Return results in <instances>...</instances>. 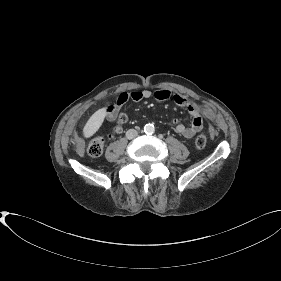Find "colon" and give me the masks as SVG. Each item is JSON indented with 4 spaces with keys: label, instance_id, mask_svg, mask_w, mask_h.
<instances>
[{
    "label": "colon",
    "instance_id": "colon-1",
    "mask_svg": "<svg viewBox=\"0 0 281 281\" xmlns=\"http://www.w3.org/2000/svg\"><path fill=\"white\" fill-rule=\"evenodd\" d=\"M127 121V115L125 113H120L118 116L119 125L115 128L114 132L109 135V138H113L115 134L120 132V125ZM207 144V138L205 135H199L195 139V145L197 148L202 149ZM104 149V139L97 138L92 140L87 147V153L91 157H99L103 153Z\"/></svg>",
    "mask_w": 281,
    "mask_h": 281
}]
</instances>
